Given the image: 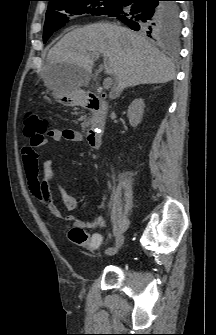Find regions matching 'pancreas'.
Returning <instances> with one entry per match:
<instances>
[{"instance_id": "pancreas-1", "label": "pancreas", "mask_w": 216, "mask_h": 335, "mask_svg": "<svg viewBox=\"0 0 216 335\" xmlns=\"http://www.w3.org/2000/svg\"><path fill=\"white\" fill-rule=\"evenodd\" d=\"M86 127H87L86 122H84V123L82 124V128H83V130H84Z\"/></svg>"}]
</instances>
